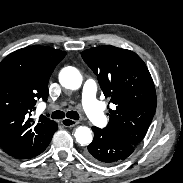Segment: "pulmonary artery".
<instances>
[{
    "instance_id": "obj_1",
    "label": "pulmonary artery",
    "mask_w": 183,
    "mask_h": 183,
    "mask_svg": "<svg viewBox=\"0 0 183 183\" xmlns=\"http://www.w3.org/2000/svg\"><path fill=\"white\" fill-rule=\"evenodd\" d=\"M96 93V82L92 79L86 80L82 89V107L93 124L103 126L106 123V116L96 98Z\"/></svg>"
}]
</instances>
